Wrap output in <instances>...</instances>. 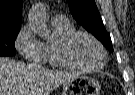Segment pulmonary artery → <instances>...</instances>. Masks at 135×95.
Returning <instances> with one entry per match:
<instances>
[{"label": "pulmonary artery", "instance_id": "pulmonary-artery-1", "mask_svg": "<svg viewBox=\"0 0 135 95\" xmlns=\"http://www.w3.org/2000/svg\"><path fill=\"white\" fill-rule=\"evenodd\" d=\"M53 21L54 22H64V21H66V18L63 15H55L53 17Z\"/></svg>", "mask_w": 135, "mask_h": 95}]
</instances>
